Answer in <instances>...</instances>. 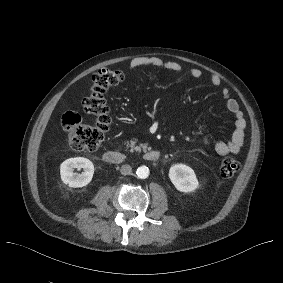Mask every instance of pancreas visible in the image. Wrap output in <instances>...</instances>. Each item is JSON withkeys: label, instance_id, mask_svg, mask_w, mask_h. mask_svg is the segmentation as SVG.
Masks as SVG:
<instances>
[{"label": "pancreas", "instance_id": "obj_1", "mask_svg": "<svg viewBox=\"0 0 283 283\" xmlns=\"http://www.w3.org/2000/svg\"><path fill=\"white\" fill-rule=\"evenodd\" d=\"M137 139L131 140L128 147H130V152H141L142 150L146 152L148 150V144H140L136 146Z\"/></svg>", "mask_w": 283, "mask_h": 283}]
</instances>
